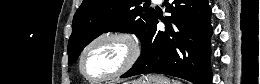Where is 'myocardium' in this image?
<instances>
[{
	"label": "myocardium",
	"mask_w": 260,
	"mask_h": 84,
	"mask_svg": "<svg viewBox=\"0 0 260 84\" xmlns=\"http://www.w3.org/2000/svg\"><path fill=\"white\" fill-rule=\"evenodd\" d=\"M115 40L127 48V55L121 66L113 73L99 78L91 79L84 70V60L89 50L102 40ZM141 55V46L137 37L125 30H106L94 36L82 49L78 59V71L83 79L89 83L99 84L119 78L135 66Z\"/></svg>",
	"instance_id": "myocardium-1"
}]
</instances>
